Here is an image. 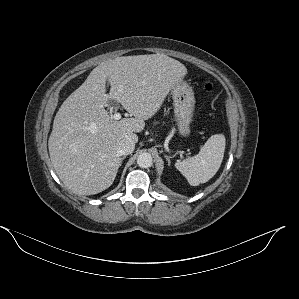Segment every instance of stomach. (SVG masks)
<instances>
[{
	"instance_id": "0dacf381",
	"label": "stomach",
	"mask_w": 299,
	"mask_h": 299,
	"mask_svg": "<svg viewBox=\"0 0 299 299\" xmlns=\"http://www.w3.org/2000/svg\"><path fill=\"white\" fill-rule=\"evenodd\" d=\"M174 105V117L179 135L190 134V124L195 110V97L192 87L181 80L171 89Z\"/></svg>"
}]
</instances>
